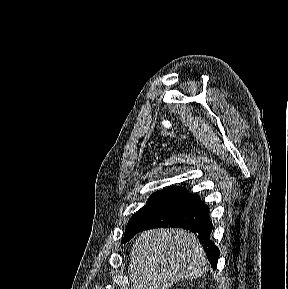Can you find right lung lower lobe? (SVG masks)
<instances>
[{"instance_id":"obj_1","label":"right lung lower lobe","mask_w":288,"mask_h":289,"mask_svg":"<svg viewBox=\"0 0 288 289\" xmlns=\"http://www.w3.org/2000/svg\"><path fill=\"white\" fill-rule=\"evenodd\" d=\"M167 226L190 229L192 232L197 233L210 264L213 268H216L220 251L214 242L210 240L213 225L209 219V208L201 201L198 195L186 193L175 206L148 223L138 232Z\"/></svg>"}]
</instances>
